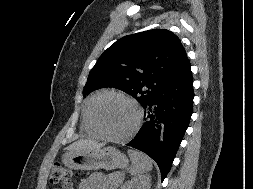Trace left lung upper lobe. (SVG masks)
Listing matches in <instances>:
<instances>
[{"mask_svg":"<svg viewBox=\"0 0 253 189\" xmlns=\"http://www.w3.org/2000/svg\"><path fill=\"white\" fill-rule=\"evenodd\" d=\"M186 59L181 41L166 29L125 36L99 57L89 73L83 95L114 87L144 106L177 74Z\"/></svg>","mask_w":253,"mask_h":189,"instance_id":"left-lung-upper-lobe-1","label":"left lung upper lobe"}]
</instances>
